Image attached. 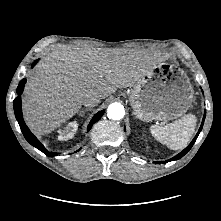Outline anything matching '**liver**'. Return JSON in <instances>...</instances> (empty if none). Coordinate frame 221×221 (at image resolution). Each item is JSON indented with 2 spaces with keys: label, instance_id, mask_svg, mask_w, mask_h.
Returning <instances> with one entry per match:
<instances>
[{
  "label": "liver",
  "instance_id": "liver-1",
  "mask_svg": "<svg viewBox=\"0 0 221 221\" xmlns=\"http://www.w3.org/2000/svg\"><path fill=\"white\" fill-rule=\"evenodd\" d=\"M157 52L134 49L66 47L51 52L25 87L24 118L36 134L54 131L79 112L93 93L105 99L130 87L163 64Z\"/></svg>",
  "mask_w": 221,
  "mask_h": 221
}]
</instances>
